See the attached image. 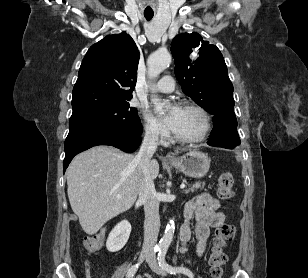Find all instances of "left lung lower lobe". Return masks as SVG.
<instances>
[{
  "mask_svg": "<svg viewBox=\"0 0 308 278\" xmlns=\"http://www.w3.org/2000/svg\"><path fill=\"white\" fill-rule=\"evenodd\" d=\"M215 128L209 137L208 145L233 149L240 145L237 133V119L231 109L221 110L214 114Z\"/></svg>",
  "mask_w": 308,
  "mask_h": 278,
  "instance_id": "left-lung-lower-lobe-1",
  "label": "left lung lower lobe"
}]
</instances>
